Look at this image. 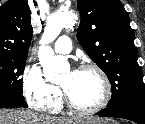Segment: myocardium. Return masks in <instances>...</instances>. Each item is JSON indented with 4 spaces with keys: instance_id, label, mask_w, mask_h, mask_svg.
<instances>
[{
    "instance_id": "f54148a6",
    "label": "myocardium",
    "mask_w": 145,
    "mask_h": 124,
    "mask_svg": "<svg viewBox=\"0 0 145 124\" xmlns=\"http://www.w3.org/2000/svg\"><path fill=\"white\" fill-rule=\"evenodd\" d=\"M76 71H94L96 72L103 84V96L101 100L91 107L77 106L69 97L65 89L61 86L64 103L74 113L81 115L95 114L104 109L111 100L112 97V85L107 73L98 65L94 63H84L78 67Z\"/></svg>"
}]
</instances>
